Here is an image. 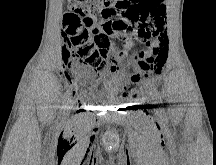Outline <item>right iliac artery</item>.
I'll list each match as a JSON object with an SVG mask.
<instances>
[{
	"label": "right iliac artery",
	"mask_w": 216,
	"mask_h": 165,
	"mask_svg": "<svg viewBox=\"0 0 216 165\" xmlns=\"http://www.w3.org/2000/svg\"><path fill=\"white\" fill-rule=\"evenodd\" d=\"M69 105L68 101H65L64 104L61 106V110H64L66 108V106Z\"/></svg>",
	"instance_id": "right-iliac-artery-1"
}]
</instances>
